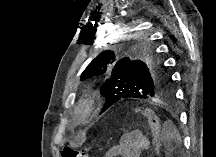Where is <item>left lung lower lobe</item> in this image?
<instances>
[{"label": "left lung lower lobe", "mask_w": 216, "mask_h": 157, "mask_svg": "<svg viewBox=\"0 0 216 157\" xmlns=\"http://www.w3.org/2000/svg\"><path fill=\"white\" fill-rule=\"evenodd\" d=\"M112 103V101L110 102V103H108V104H105L104 105V107H103V109H102V112H104L106 109H108L111 105H113V104H111Z\"/></svg>", "instance_id": "left-lung-lower-lobe-1"}]
</instances>
